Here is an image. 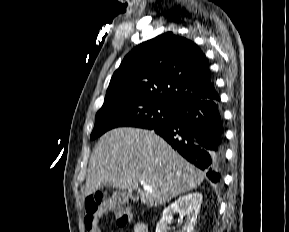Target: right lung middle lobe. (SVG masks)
<instances>
[{"label": "right lung middle lobe", "instance_id": "1", "mask_svg": "<svg viewBox=\"0 0 289 232\" xmlns=\"http://www.w3.org/2000/svg\"><path fill=\"white\" fill-rule=\"evenodd\" d=\"M176 109L139 96L106 98L96 114L90 139L116 127H159L175 118Z\"/></svg>", "mask_w": 289, "mask_h": 232}]
</instances>
